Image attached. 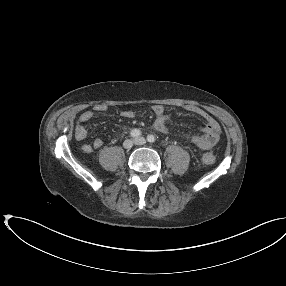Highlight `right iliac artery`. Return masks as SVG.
<instances>
[{
  "label": "right iliac artery",
  "instance_id": "obj_1",
  "mask_svg": "<svg viewBox=\"0 0 286 286\" xmlns=\"http://www.w3.org/2000/svg\"><path fill=\"white\" fill-rule=\"evenodd\" d=\"M141 135V131L139 129H133L131 132H130V136L133 137V138H137Z\"/></svg>",
  "mask_w": 286,
  "mask_h": 286
}]
</instances>
